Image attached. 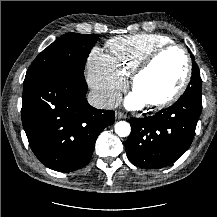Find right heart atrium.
Segmentation results:
<instances>
[{
  "label": "right heart atrium",
  "mask_w": 217,
  "mask_h": 217,
  "mask_svg": "<svg viewBox=\"0 0 217 217\" xmlns=\"http://www.w3.org/2000/svg\"><path fill=\"white\" fill-rule=\"evenodd\" d=\"M87 82L99 104L109 107L118 101L126 78L113 68L106 53L94 48L87 60Z\"/></svg>",
  "instance_id": "obj_1"
}]
</instances>
